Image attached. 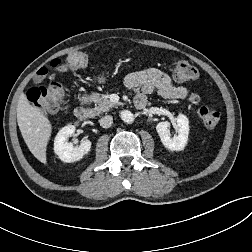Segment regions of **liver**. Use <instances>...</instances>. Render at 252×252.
<instances>
[{"label": "liver", "mask_w": 252, "mask_h": 252, "mask_svg": "<svg viewBox=\"0 0 252 252\" xmlns=\"http://www.w3.org/2000/svg\"><path fill=\"white\" fill-rule=\"evenodd\" d=\"M17 122L30 152L40 162L46 164V148L52 125L40 109L29 103L25 94H21L18 100Z\"/></svg>", "instance_id": "6515ba94"}]
</instances>
